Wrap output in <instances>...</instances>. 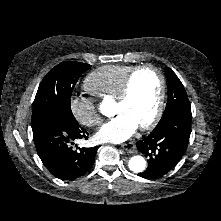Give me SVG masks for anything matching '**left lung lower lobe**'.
I'll return each mask as SVG.
<instances>
[{
	"label": "left lung lower lobe",
	"mask_w": 221,
	"mask_h": 221,
	"mask_svg": "<svg viewBox=\"0 0 221 221\" xmlns=\"http://www.w3.org/2000/svg\"><path fill=\"white\" fill-rule=\"evenodd\" d=\"M191 119V110L170 113L147 137L137 142V148L148 162L147 169L139 176L157 179L176 166L189 143Z\"/></svg>",
	"instance_id": "left-lung-lower-lobe-1"
}]
</instances>
